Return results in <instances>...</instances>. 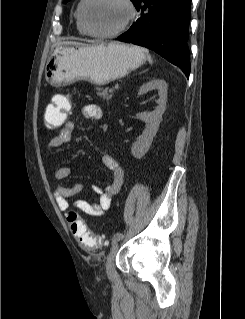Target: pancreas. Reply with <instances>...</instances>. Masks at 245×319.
Wrapping results in <instances>:
<instances>
[{
  "instance_id": "obj_1",
  "label": "pancreas",
  "mask_w": 245,
  "mask_h": 319,
  "mask_svg": "<svg viewBox=\"0 0 245 319\" xmlns=\"http://www.w3.org/2000/svg\"><path fill=\"white\" fill-rule=\"evenodd\" d=\"M97 95L103 100L109 101L112 98L113 92H110L108 88H96Z\"/></svg>"
}]
</instances>
